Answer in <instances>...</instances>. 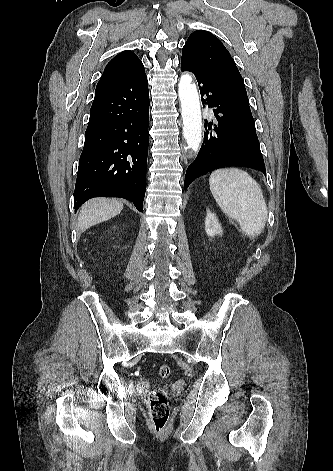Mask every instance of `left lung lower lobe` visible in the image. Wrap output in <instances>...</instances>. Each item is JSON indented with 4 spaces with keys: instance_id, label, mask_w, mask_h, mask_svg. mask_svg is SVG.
Segmentation results:
<instances>
[{
    "instance_id": "0a47b994",
    "label": "left lung lower lobe",
    "mask_w": 333,
    "mask_h": 471,
    "mask_svg": "<svg viewBox=\"0 0 333 471\" xmlns=\"http://www.w3.org/2000/svg\"><path fill=\"white\" fill-rule=\"evenodd\" d=\"M181 69L195 75L203 107H213L215 115L214 128L212 129L211 123L208 131L204 133L201 149L187 169L184 186L199 175L229 166L249 167L266 175L254 119L231 99L219 83L199 67L181 59Z\"/></svg>"
}]
</instances>
